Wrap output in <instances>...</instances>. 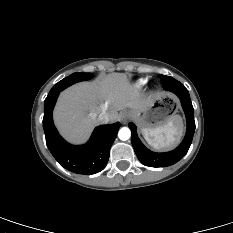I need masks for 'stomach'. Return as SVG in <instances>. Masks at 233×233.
Masks as SVG:
<instances>
[{
  "mask_svg": "<svg viewBox=\"0 0 233 233\" xmlns=\"http://www.w3.org/2000/svg\"><path fill=\"white\" fill-rule=\"evenodd\" d=\"M179 110L177 100L169 95L154 99L142 112L132 111V117L142 129L155 128L174 118Z\"/></svg>",
  "mask_w": 233,
  "mask_h": 233,
  "instance_id": "0dacf381",
  "label": "stomach"
}]
</instances>
